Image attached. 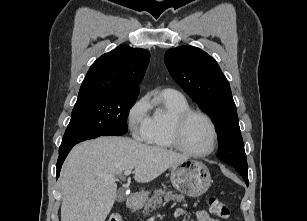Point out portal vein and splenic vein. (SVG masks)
I'll list each match as a JSON object with an SVG mask.
<instances>
[{
    "instance_id": "obj_1",
    "label": "portal vein and splenic vein",
    "mask_w": 307,
    "mask_h": 221,
    "mask_svg": "<svg viewBox=\"0 0 307 221\" xmlns=\"http://www.w3.org/2000/svg\"><path fill=\"white\" fill-rule=\"evenodd\" d=\"M130 174H131V170H125V171H124V175H125V176H129ZM104 178H105V179H114L115 176H114V175H106V176H104Z\"/></svg>"
}]
</instances>
